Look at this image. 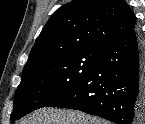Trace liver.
<instances>
[{
	"label": "liver",
	"mask_w": 145,
	"mask_h": 124,
	"mask_svg": "<svg viewBox=\"0 0 145 124\" xmlns=\"http://www.w3.org/2000/svg\"><path fill=\"white\" fill-rule=\"evenodd\" d=\"M21 124H107L90 118L82 113L60 110L43 109L32 114Z\"/></svg>",
	"instance_id": "1"
}]
</instances>
